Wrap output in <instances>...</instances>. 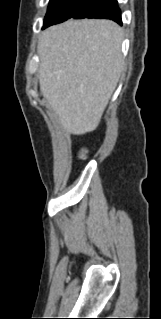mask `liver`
I'll return each mask as SVG.
<instances>
[{"label":"liver","mask_w":161,"mask_h":319,"mask_svg":"<svg viewBox=\"0 0 161 319\" xmlns=\"http://www.w3.org/2000/svg\"><path fill=\"white\" fill-rule=\"evenodd\" d=\"M123 30L110 20H69L38 42L43 97L69 133L97 128L124 68Z\"/></svg>","instance_id":"6515ba94"}]
</instances>
